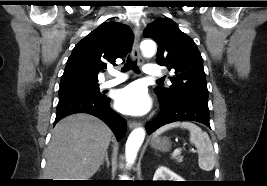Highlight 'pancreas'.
Here are the masks:
<instances>
[{
  "label": "pancreas",
  "mask_w": 267,
  "mask_h": 186,
  "mask_svg": "<svg viewBox=\"0 0 267 186\" xmlns=\"http://www.w3.org/2000/svg\"><path fill=\"white\" fill-rule=\"evenodd\" d=\"M175 159L178 161V162H182V157L181 156H177V157H175Z\"/></svg>",
  "instance_id": "1"
}]
</instances>
